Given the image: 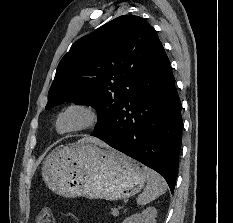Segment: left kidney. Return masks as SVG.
<instances>
[{"mask_svg":"<svg viewBox=\"0 0 233 223\" xmlns=\"http://www.w3.org/2000/svg\"><path fill=\"white\" fill-rule=\"evenodd\" d=\"M156 217V207H146L141 213H133L130 217H126L122 223H156Z\"/></svg>","mask_w":233,"mask_h":223,"instance_id":"1","label":"left kidney"}]
</instances>
